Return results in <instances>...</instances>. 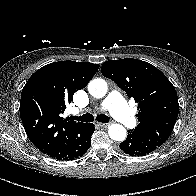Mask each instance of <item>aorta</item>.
I'll use <instances>...</instances> for the list:
<instances>
[{"label":"aorta","mask_w":196,"mask_h":196,"mask_svg":"<svg viewBox=\"0 0 196 196\" xmlns=\"http://www.w3.org/2000/svg\"><path fill=\"white\" fill-rule=\"evenodd\" d=\"M88 91L95 98H102L107 93V83L103 79L91 80L88 84ZM108 134L112 140L124 141L127 136L126 129L120 124H112L109 127Z\"/></svg>","instance_id":"aorta-1"}]
</instances>
